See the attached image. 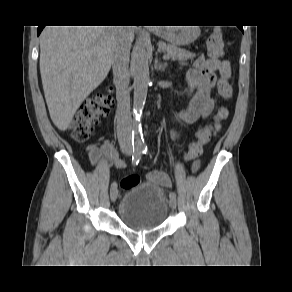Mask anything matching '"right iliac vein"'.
<instances>
[{
	"label": "right iliac vein",
	"mask_w": 292,
	"mask_h": 292,
	"mask_svg": "<svg viewBox=\"0 0 292 292\" xmlns=\"http://www.w3.org/2000/svg\"><path fill=\"white\" fill-rule=\"evenodd\" d=\"M117 197H118V190L117 189L111 190L110 192L111 201L115 202Z\"/></svg>",
	"instance_id": "1"
}]
</instances>
